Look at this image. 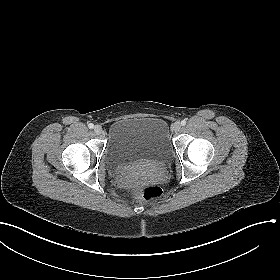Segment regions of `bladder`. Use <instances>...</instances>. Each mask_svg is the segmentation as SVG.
Masks as SVG:
<instances>
[{
  "label": "bladder",
  "instance_id": "31cf9c89",
  "mask_svg": "<svg viewBox=\"0 0 280 280\" xmlns=\"http://www.w3.org/2000/svg\"><path fill=\"white\" fill-rule=\"evenodd\" d=\"M172 154L168 125L157 117L123 118L108 129L105 161L113 168L149 160L167 161Z\"/></svg>",
  "mask_w": 280,
  "mask_h": 280
}]
</instances>
